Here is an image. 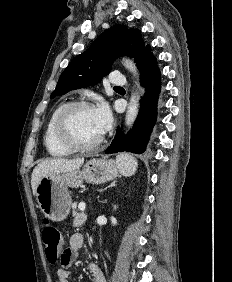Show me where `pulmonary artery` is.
<instances>
[{
    "instance_id": "1",
    "label": "pulmonary artery",
    "mask_w": 232,
    "mask_h": 282,
    "mask_svg": "<svg viewBox=\"0 0 232 282\" xmlns=\"http://www.w3.org/2000/svg\"><path fill=\"white\" fill-rule=\"evenodd\" d=\"M110 82L113 85L121 86V85H124L126 83V79L122 74H120L118 72H114L111 75Z\"/></svg>"
}]
</instances>
